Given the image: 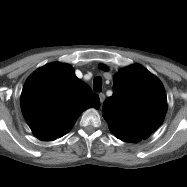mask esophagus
Returning <instances> with one entry per match:
<instances>
[{
  "label": "esophagus",
  "mask_w": 187,
  "mask_h": 187,
  "mask_svg": "<svg viewBox=\"0 0 187 187\" xmlns=\"http://www.w3.org/2000/svg\"><path fill=\"white\" fill-rule=\"evenodd\" d=\"M99 99H100V103L102 105L103 102L105 101V94L104 93H99Z\"/></svg>",
  "instance_id": "esophagus-1"
}]
</instances>
